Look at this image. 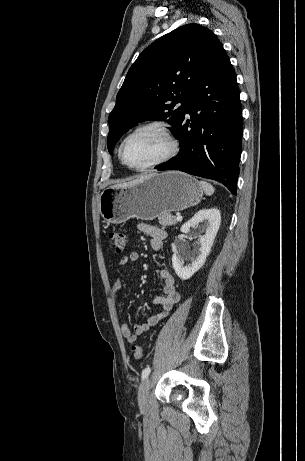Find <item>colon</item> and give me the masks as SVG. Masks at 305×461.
Instances as JSON below:
<instances>
[{
	"label": "colon",
	"instance_id": "5ec220e1",
	"mask_svg": "<svg viewBox=\"0 0 305 461\" xmlns=\"http://www.w3.org/2000/svg\"><path fill=\"white\" fill-rule=\"evenodd\" d=\"M108 239L116 252L121 253L125 250L127 245L126 234L122 232L111 231L108 235ZM132 355L135 359H141L143 357V349L138 345L133 346Z\"/></svg>",
	"mask_w": 305,
	"mask_h": 461
}]
</instances>
